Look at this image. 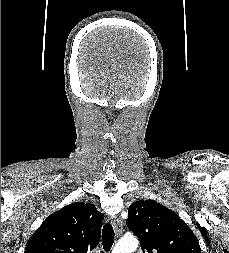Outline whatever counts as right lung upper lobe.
Listing matches in <instances>:
<instances>
[{"mask_svg": "<svg viewBox=\"0 0 229 253\" xmlns=\"http://www.w3.org/2000/svg\"><path fill=\"white\" fill-rule=\"evenodd\" d=\"M103 214L75 202L54 212L30 237L25 253H87L100 241Z\"/></svg>", "mask_w": 229, "mask_h": 253, "instance_id": "cb5924a9", "label": "right lung upper lobe"}]
</instances>
